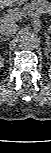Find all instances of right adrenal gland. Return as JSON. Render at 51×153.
Instances as JSON below:
<instances>
[{"label": "right adrenal gland", "instance_id": "obj_1", "mask_svg": "<svg viewBox=\"0 0 51 153\" xmlns=\"http://www.w3.org/2000/svg\"><path fill=\"white\" fill-rule=\"evenodd\" d=\"M8 40V38H0V42H3V41H7Z\"/></svg>", "mask_w": 51, "mask_h": 153}]
</instances>
